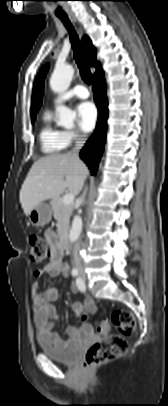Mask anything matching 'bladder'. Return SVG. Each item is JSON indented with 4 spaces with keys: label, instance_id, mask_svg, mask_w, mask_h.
Listing matches in <instances>:
<instances>
[{
    "label": "bladder",
    "instance_id": "obj_1",
    "mask_svg": "<svg viewBox=\"0 0 168 406\" xmlns=\"http://www.w3.org/2000/svg\"><path fill=\"white\" fill-rule=\"evenodd\" d=\"M37 342L45 355L63 364H74L81 356V345L58 347L41 335H38Z\"/></svg>",
    "mask_w": 168,
    "mask_h": 406
}]
</instances>
